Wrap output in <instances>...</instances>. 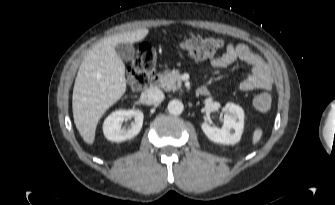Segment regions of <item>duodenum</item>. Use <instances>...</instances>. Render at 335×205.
Instances as JSON below:
<instances>
[{"label":"duodenum","mask_w":335,"mask_h":205,"mask_svg":"<svg viewBox=\"0 0 335 205\" xmlns=\"http://www.w3.org/2000/svg\"><path fill=\"white\" fill-rule=\"evenodd\" d=\"M159 83V76L154 75L151 77V86H157ZM197 94L202 95V96H207L210 94V91L207 87H200L197 89Z\"/></svg>","instance_id":"410a0bca"}]
</instances>
